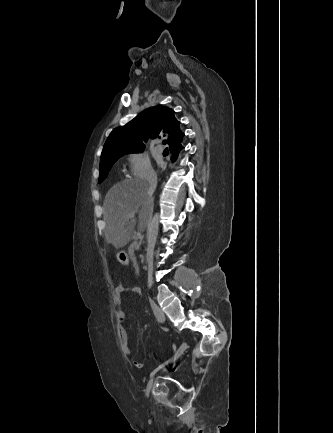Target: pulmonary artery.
Here are the masks:
<instances>
[{
	"label": "pulmonary artery",
	"mask_w": 333,
	"mask_h": 433,
	"mask_svg": "<svg viewBox=\"0 0 333 433\" xmlns=\"http://www.w3.org/2000/svg\"><path fill=\"white\" fill-rule=\"evenodd\" d=\"M156 150H157V152L158 153H163V151H164V148H163V146L162 145H158L157 147H156Z\"/></svg>",
	"instance_id": "e3ab8cb5"
}]
</instances>
